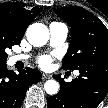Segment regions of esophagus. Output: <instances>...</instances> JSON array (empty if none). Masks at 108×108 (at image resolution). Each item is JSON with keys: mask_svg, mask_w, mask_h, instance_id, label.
<instances>
[{"mask_svg": "<svg viewBox=\"0 0 108 108\" xmlns=\"http://www.w3.org/2000/svg\"><path fill=\"white\" fill-rule=\"evenodd\" d=\"M50 78H51L50 74H46V73L42 74V79L46 80V79H50Z\"/></svg>", "mask_w": 108, "mask_h": 108, "instance_id": "esophagus-1", "label": "esophagus"}]
</instances>
